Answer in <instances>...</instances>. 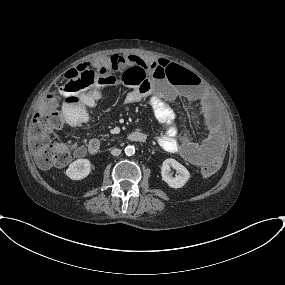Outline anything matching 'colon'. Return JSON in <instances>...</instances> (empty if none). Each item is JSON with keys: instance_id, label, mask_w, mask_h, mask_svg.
<instances>
[{"instance_id": "1", "label": "colon", "mask_w": 285, "mask_h": 285, "mask_svg": "<svg viewBox=\"0 0 285 285\" xmlns=\"http://www.w3.org/2000/svg\"><path fill=\"white\" fill-rule=\"evenodd\" d=\"M123 64L124 59L118 55L108 56L101 60L98 65L92 61L82 63L63 75L61 82L65 85L62 91L82 89L94 83L96 79H112L116 83L139 92L146 90L149 85V78L145 69L146 64L137 60L136 64L128 65L121 71ZM153 65L160 70L162 77L180 81L186 76L185 71L175 68L166 60H157L153 62ZM64 123L56 95H47L42 108L31 119L28 132L30 151L39 168L50 169L65 166L74 156L83 151L82 146L70 149L67 144L52 140L51 134L59 130ZM80 123H84V119L81 118ZM222 162V157L218 156L212 163L203 167V177L213 176Z\"/></svg>"}]
</instances>
